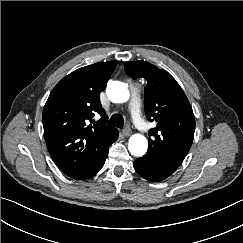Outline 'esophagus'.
Returning <instances> with one entry per match:
<instances>
[{"label":"esophagus","mask_w":243,"mask_h":243,"mask_svg":"<svg viewBox=\"0 0 243 243\" xmlns=\"http://www.w3.org/2000/svg\"><path fill=\"white\" fill-rule=\"evenodd\" d=\"M122 133L124 136H130L132 134V131L130 128L127 127L123 129Z\"/></svg>","instance_id":"obj_1"}]
</instances>
